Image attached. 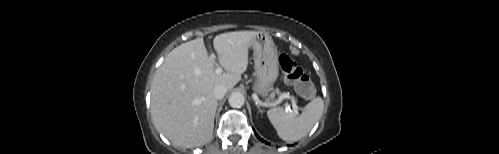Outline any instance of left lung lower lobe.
Listing matches in <instances>:
<instances>
[{
  "label": "left lung lower lobe",
  "mask_w": 499,
  "mask_h": 154,
  "mask_svg": "<svg viewBox=\"0 0 499 154\" xmlns=\"http://www.w3.org/2000/svg\"><path fill=\"white\" fill-rule=\"evenodd\" d=\"M254 132H255V131H254ZM255 135L257 136V138H259V139H260V137L257 135V133H256V132H255ZM260 140H262V139H260ZM262 141H263V142H265L264 140H262Z\"/></svg>",
  "instance_id": "left-lung-lower-lobe-1"
}]
</instances>
